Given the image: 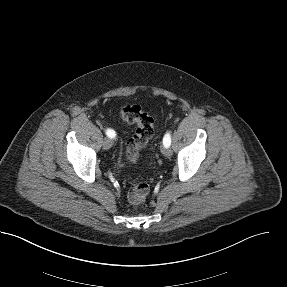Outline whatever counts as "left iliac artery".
<instances>
[{"label":"left iliac artery","instance_id":"left-iliac-artery-1","mask_svg":"<svg viewBox=\"0 0 287 287\" xmlns=\"http://www.w3.org/2000/svg\"><path fill=\"white\" fill-rule=\"evenodd\" d=\"M170 144H171V134L169 132H167L163 138V145L165 147H169Z\"/></svg>","mask_w":287,"mask_h":287}]
</instances>
